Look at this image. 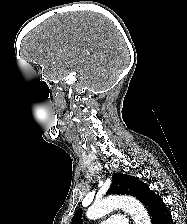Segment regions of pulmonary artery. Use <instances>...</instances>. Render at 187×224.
<instances>
[{"instance_id": "pulmonary-artery-1", "label": "pulmonary artery", "mask_w": 187, "mask_h": 224, "mask_svg": "<svg viewBox=\"0 0 187 224\" xmlns=\"http://www.w3.org/2000/svg\"><path fill=\"white\" fill-rule=\"evenodd\" d=\"M99 224H126V222L117 217H111L105 221L100 222Z\"/></svg>"}]
</instances>
